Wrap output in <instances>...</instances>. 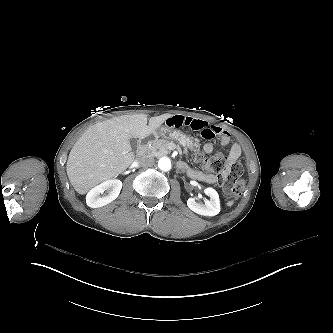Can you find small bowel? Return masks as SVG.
Here are the masks:
<instances>
[{
	"label": "small bowel",
	"mask_w": 333,
	"mask_h": 333,
	"mask_svg": "<svg viewBox=\"0 0 333 333\" xmlns=\"http://www.w3.org/2000/svg\"><path fill=\"white\" fill-rule=\"evenodd\" d=\"M166 126L168 128H180L185 127L194 131H198L204 138H216L220 137V145L226 146L230 142V135L223 131L221 127L213 124H209L207 121L189 115H173L166 120ZM203 151L207 154H211L214 151V146L211 143H207L203 147ZM242 153L241 146L238 143H234L229 151L228 159L231 163L236 162ZM190 175L193 179L201 180L209 184L216 182V177L212 174H205L199 170L189 169Z\"/></svg>",
	"instance_id": "small-bowel-1"
}]
</instances>
